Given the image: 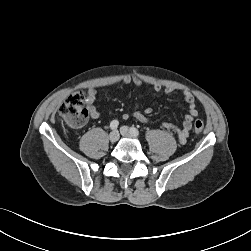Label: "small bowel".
<instances>
[{"mask_svg":"<svg viewBox=\"0 0 251 251\" xmlns=\"http://www.w3.org/2000/svg\"><path fill=\"white\" fill-rule=\"evenodd\" d=\"M122 82L124 84H133L135 86H142L144 84V82L135 76H125L122 79ZM162 90V86L159 84H153L152 85V91L154 94L159 93ZM175 91L174 88L171 87H166L164 89V92L167 94L173 93ZM97 97V91L95 88H89L87 90V111H88V115L92 118V119H98L100 117V112L98 111V109L96 108V106L94 105V102L96 100ZM183 99L188 103V112L187 114L184 116L182 125L180 127L169 123V122H163L162 126L166 129L172 130L176 133L177 138L179 140L180 143L184 144L187 140V138L190 135L191 129H192V123L193 120L197 117L198 115V111L196 108V104H195V98L192 95L191 92L189 91H184L183 92ZM152 113V108L148 107L146 108L143 112L141 111H135L133 113V117L135 119H137L140 122L146 123L149 121V115ZM123 118L124 119H128L129 118V114H123Z\"/></svg>","mask_w":251,"mask_h":251,"instance_id":"c3829d8e","label":"small bowel"}]
</instances>
